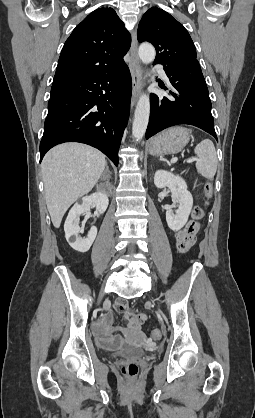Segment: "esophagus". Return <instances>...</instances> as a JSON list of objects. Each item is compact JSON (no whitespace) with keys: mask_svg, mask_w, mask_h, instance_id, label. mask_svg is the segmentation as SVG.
<instances>
[{"mask_svg":"<svg viewBox=\"0 0 255 418\" xmlns=\"http://www.w3.org/2000/svg\"><path fill=\"white\" fill-rule=\"evenodd\" d=\"M137 37L136 32H133L132 35V42L130 47V71H131V77H132V106L135 105L138 96L141 92L142 86H143V72L140 65V61L137 55Z\"/></svg>","mask_w":255,"mask_h":418,"instance_id":"1","label":"esophagus"}]
</instances>
